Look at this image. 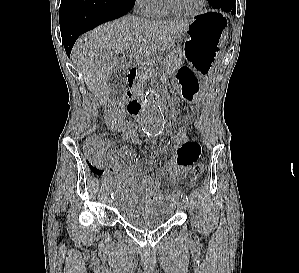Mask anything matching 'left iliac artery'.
<instances>
[{
  "label": "left iliac artery",
  "mask_w": 299,
  "mask_h": 273,
  "mask_svg": "<svg viewBox=\"0 0 299 273\" xmlns=\"http://www.w3.org/2000/svg\"><path fill=\"white\" fill-rule=\"evenodd\" d=\"M181 198H182V200H184V201H188V196L185 195V194H182V195H181Z\"/></svg>",
  "instance_id": "left-iliac-artery-1"
}]
</instances>
